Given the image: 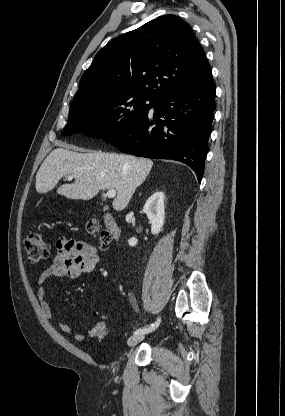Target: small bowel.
Instances as JSON below:
<instances>
[{
	"mask_svg": "<svg viewBox=\"0 0 285 416\" xmlns=\"http://www.w3.org/2000/svg\"><path fill=\"white\" fill-rule=\"evenodd\" d=\"M97 250L91 244L74 239H60L56 244V255L52 263L39 275L37 299L43 315L58 330L67 334H74L77 341L87 339L102 340L110 331L107 316L100 314L96 324L89 330L74 333L73 329L57 318L46 300L47 282L50 279H75L85 273H90L98 263Z\"/></svg>",
	"mask_w": 285,
	"mask_h": 416,
	"instance_id": "small-bowel-1",
	"label": "small bowel"
}]
</instances>
